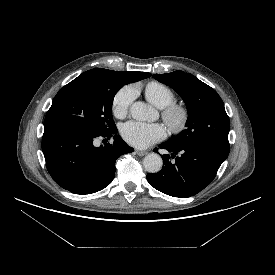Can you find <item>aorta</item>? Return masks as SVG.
Returning <instances> with one entry per match:
<instances>
[{
    "mask_svg": "<svg viewBox=\"0 0 275 275\" xmlns=\"http://www.w3.org/2000/svg\"><path fill=\"white\" fill-rule=\"evenodd\" d=\"M130 114L135 120L146 121L156 117V111L148 104L137 101L130 107ZM145 169L150 173H157L161 170L163 160L157 153H149L143 159Z\"/></svg>",
    "mask_w": 275,
    "mask_h": 275,
    "instance_id": "obj_1",
    "label": "aorta"
}]
</instances>
